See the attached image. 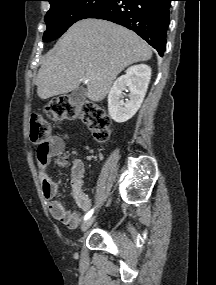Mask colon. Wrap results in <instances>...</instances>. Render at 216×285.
Returning a JSON list of instances; mask_svg holds the SVG:
<instances>
[{
	"instance_id": "obj_1",
	"label": "colon",
	"mask_w": 216,
	"mask_h": 285,
	"mask_svg": "<svg viewBox=\"0 0 216 285\" xmlns=\"http://www.w3.org/2000/svg\"><path fill=\"white\" fill-rule=\"evenodd\" d=\"M47 116L53 121L80 118L88 127L94 139L100 143L106 142L111 135V121L106 112L96 103L85 101L74 103L69 97H59L51 100L45 107ZM50 127L40 114H32L30 119V139L40 149H46L50 139ZM66 162L62 156L61 163Z\"/></svg>"
}]
</instances>
